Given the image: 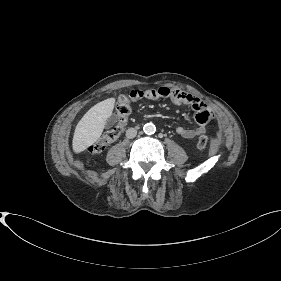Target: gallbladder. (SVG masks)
<instances>
[{
  "label": "gallbladder",
  "mask_w": 281,
  "mask_h": 281,
  "mask_svg": "<svg viewBox=\"0 0 281 281\" xmlns=\"http://www.w3.org/2000/svg\"><path fill=\"white\" fill-rule=\"evenodd\" d=\"M116 122H117V117L116 116H110L107 119L105 126L107 128H111Z\"/></svg>",
  "instance_id": "bac80fb5"
}]
</instances>
